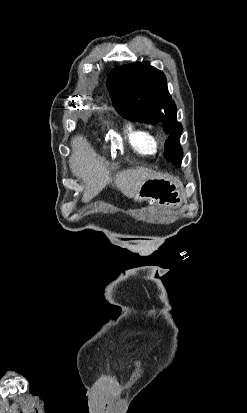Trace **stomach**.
Wrapping results in <instances>:
<instances>
[{
  "label": "stomach",
  "instance_id": "0dacf381",
  "mask_svg": "<svg viewBox=\"0 0 247 413\" xmlns=\"http://www.w3.org/2000/svg\"><path fill=\"white\" fill-rule=\"evenodd\" d=\"M134 200H152V202H157L159 207L178 209L183 202L182 182L170 174L148 178L142 182Z\"/></svg>",
  "mask_w": 247,
  "mask_h": 413
}]
</instances>
